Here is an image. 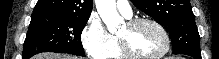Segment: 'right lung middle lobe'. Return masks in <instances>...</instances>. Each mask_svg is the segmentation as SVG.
I'll return each mask as SVG.
<instances>
[{
  "label": "right lung middle lobe",
  "instance_id": "dd1d6c3e",
  "mask_svg": "<svg viewBox=\"0 0 219 59\" xmlns=\"http://www.w3.org/2000/svg\"><path fill=\"white\" fill-rule=\"evenodd\" d=\"M89 17L32 15L24 42L22 59L41 52L84 56L80 35Z\"/></svg>",
  "mask_w": 219,
  "mask_h": 59
}]
</instances>
